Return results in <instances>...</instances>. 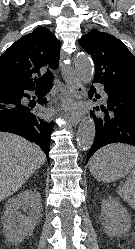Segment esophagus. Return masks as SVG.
Returning <instances> with one entry per match:
<instances>
[{
	"instance_id": "1",
	"label": "esophagus",
	"mask_w": 135,
	"mask_h": 249,
	"mask_svg": "<svg viewBox=\"0 0 135 249\" xmlns=\"http://www.w3.org/2000/svg\"><path fill=\"white\" fill-rule=\"evenodd\" d=\"M66 57L65 53H61V60ZM65 83L69 91V95L76 99H82L85 94V88L82 85L76 72L71 67L65 68ZM64 114L69 119L72 126L76 127L80 122L83 112L82 111H72L66 103L63 105Z\"/></svg>"
}]
</instances>
